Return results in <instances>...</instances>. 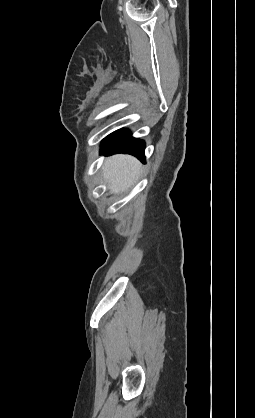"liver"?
I'll list each match as a JSON object with an SVG mask.
<instances>
[{"label":"liver","instance_id":"liver-1","mask_svg":"<svg viewBox=\"0 0 255 418\" xmlns=\"http://www.w3.org/2000/svg\"><path fill=\"white\" fill-rule=\"evenodd\" d=\"M103 177L111 193L128 190L138 179L141 163L129 155H114L103 165Z\"/></svg>","mask_w":255,"mask_h":418}]
</instances>
